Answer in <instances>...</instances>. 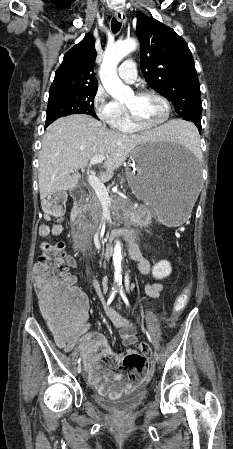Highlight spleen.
I'll return each instance as SVG.
<instances>
[{
  "instance_id": "obj_1",
  "label": "spleen",
  "mask_w": 233,
  "mask_h": 449,
  "mask_svg": "<svg viewBox=\"0 0 233 449\" xmlns=\"http://www.w3.org/2000/svg\"><path fill=\"white\" fill-rule=\"evenodd\" d=\"M178 141L186 147H193L195 150L198 145V136L194 130V124L183 125V131L178 134Z\"/></svg>"
}]
</instances>
